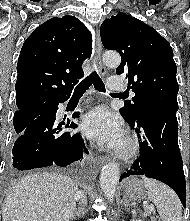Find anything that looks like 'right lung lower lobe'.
I'll return each mask as SVG.
<instances>
[{"mask_svg": "<svg viewBox=\"0 0 190 221\" xmlns=\"http://www.w3.org/2000/svg\"><path fill=\"white\" fill-rule=\"evenodd\" d=\"M68 97L55 98L44 104L41 114L30 122L14 143L11 166L18 170H30L56 164L66 167L88 153L80 133L62 132V124L56 121L58 104ZM75 112L73 117H78ZM76 128L73 122L65 126Z\"/></svg>", "mask_w": 190, "mask_h": 221, "instance_id": "obj_1", "label": "right lung lower lobe"}]
</instances>
